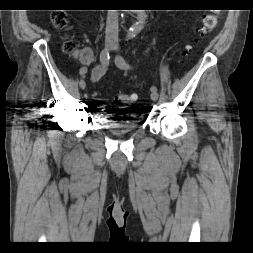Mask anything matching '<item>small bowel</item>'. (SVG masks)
Here are the masks:
<instances>
[{"label":"small bowel","instance_id":"small-bowel-1","mask_svg":"<svg viewBox=\"0 0 253 253\" xmlns=\"http://www.w3.org/2000/svg\"><path fill=\"white\" fill-rule=\"evenodd\" d=\"M108 71V66L100 65L95 67L91 72H90V80L92 82H98ZM81 74L86 73V69L83 68L80 70Z\"/></svg>","mask_w":253,"mask_h":253}]
</instances>
